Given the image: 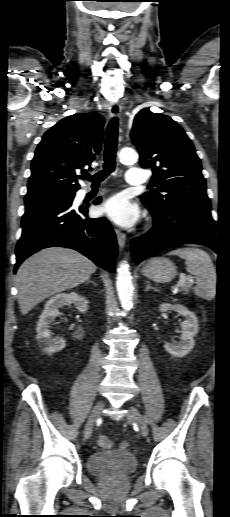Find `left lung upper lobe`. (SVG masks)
<instances>
[{"instance_id": "obj_1", "label": "left lung upper lobe", "mask_w": 230, "mask_h": 517, "mask_svg": "<svg viewBox=\"0 0 230 517\" xmlns=\"http://www.w3.org/2000/svg\"><path fill=\"white\" fill-rule=\"evenodd\" d=\"M130 137L140 154V165L153 170L157 190L140 196L153 212L187 203H210L202 167L191 140L169 116L142 109Z\"/></svg>"}]
</instances>
